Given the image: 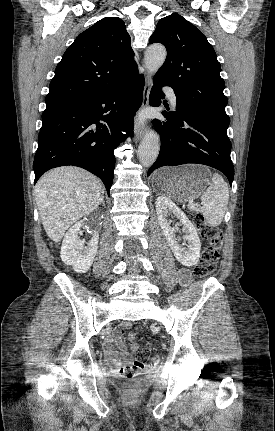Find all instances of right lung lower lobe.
I'll list each match as a JSON object with an SVG mask.
<instances>
[{"label": "right lung lower lobe", "mask_w": 275, "mask_h": 431, "mask_svg": "<svg viewBox=\"0 0 275 431\" xmlns=\"http://www.w3.org/2000/svg\"><path fill=\"white\" fill-rule=\"evenodd\" d=\"M143 88L144 77L138 75L108 93L47 105L33 163L34 183L51 168L74 165L98 176L109 195L115 167L113 151L132 134Z\"/></svg>", "instance_id": "98d812e1"}]
</instances>
